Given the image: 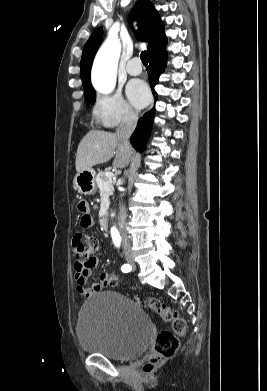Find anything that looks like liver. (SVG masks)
<instances>
[{"label": "liver", "instance_id": "obj_1", "mask_svg": "<svg viewBox=\"0 0 267 391\" xmlns=\"http://www.w3.org/2000/svg\"><path fill=\"white\" fill-rule=\"evenodd\" d=\"M132 150L126 151L116 134L91 130L80 141L75 166L77 172L92 169L93 166L108 162L113 156V166L124 168L128 165Z\"/></svg>", "mask_w": 267, "mask_h": 391}]
</instances>
